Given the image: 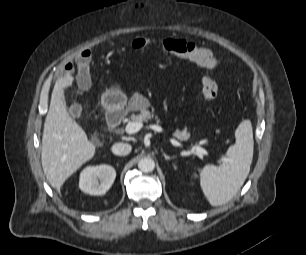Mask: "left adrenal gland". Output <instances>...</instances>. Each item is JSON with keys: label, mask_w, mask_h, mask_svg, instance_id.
I'll use <instances>...</instances> for the list:
<instances>
[{"label": "left adrenal gland", "mask_w": 306, "mask_h": 255, "mask_svg": "<svg viewBox=\"0 0 306 255\" xmlns=\"http://www.w3.org/2000/svg\"><path fill=\"white\" fill-rule=\"evenodd\" d=\"M163 156H164V158H165L166 161L172 160V159H175V158H176V156H174V155H173V156H168V155H167L166 153H164V152H163Z\"/></svg>", "instance_id": "left-adrenal-gland-1"}]
</instances>
